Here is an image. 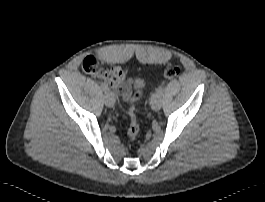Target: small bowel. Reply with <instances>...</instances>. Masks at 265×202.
<instances>
[{"mask_svg":"<svg viewBox=\"0 0 265 202\" xmlns=\"http://www.w3.org/2000/svg\"><path fill=\"white\" fill-rule=\"evenodd\" d=\"M103 65L104 63L101 58L92 54L83 59L81 69L86 74L104 80L123 99H130L132 95V84L127 79L125 71L119 65H112L108 70H103L100 68Z\"/></svg>","mask_w":265,"mask_h":202,"instance_id":"1","label":"small bowel"}]
</instances>
